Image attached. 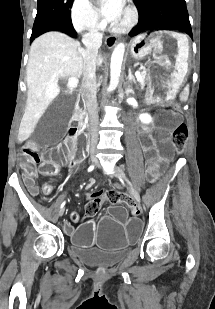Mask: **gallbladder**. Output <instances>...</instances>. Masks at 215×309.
<instances>
[{
  "label": "gallbladder",
  "instance_id": "gallbladder-1",
  "mask_svg": "<svg viewBox=\"0 0 215 309\" xmlns=\"http://www.w3.org/2000/svg\"><path fill=\"white\" fill-rule=\"evenodd\" d=\"M76 106L75 92H62V96L48 105V110L41 117L39 125L32 134L38 148H54L67 126Z\"/></svg>",
  "mask_w": 215,
  "mask_h": 309
}]
</instances>
